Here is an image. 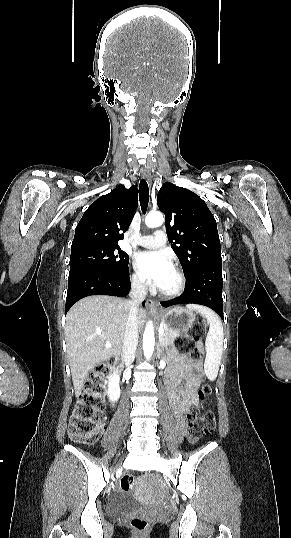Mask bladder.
<instances>
[{"instance_id": "bladder-1", "label": "bladder", "mask_w": 291, "mask_h": 538, "mask_svg": "<svg viewBox=\"0 0 291 538\" xmlns=\"http://www.w3.org/2000/svg\"><path fill=\"white\" fill-rule=\"evenodd\" d=\"M108 514L112 517L120 516L128 511L137 510L139 505L122 498H112L108 504Z\"/></svg>"}]
</instances>
